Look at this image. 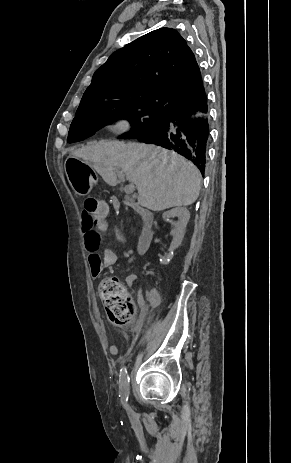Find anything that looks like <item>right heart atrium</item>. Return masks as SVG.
<instances>
[{
    "instance_id": "right-heart-atrium-1",
    "label": "right heart atrium",
    "mask_w": 291,
    "mask_h": 463,
    "mask_svg": "<svg viewBox=\"0 0 291 463\" xmlns=\"http://www.w3.org/2000/svg\"><path fill=\"white\" fill-rule=\"evenodd\" d=\"M129 128V123L126 119H119L114 122L111 129L115 132H124Z\"/></svg>"
}]
</instances>
